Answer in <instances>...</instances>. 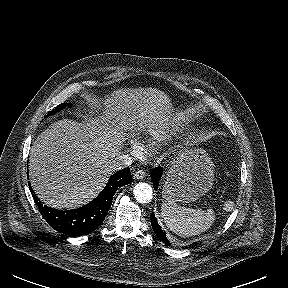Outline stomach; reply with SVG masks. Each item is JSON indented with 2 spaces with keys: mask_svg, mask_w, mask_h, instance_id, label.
<instances>
[{
  "mask_svg": "<svg viewBox=\"0 0 288 288\" xmlns=\"http://www.w3.org/2000/svg\"><path fill=\"white\" fill-rule=\"evenodd\" d=\"M214 163L205 150L186 149L172 161L162 195L166 201L190 203L213 186Z\"/></svg>",
  "mask_w": 288,
  "mask_h": 288,
  "instance_id": "obj_1",
  "label": "stomach"
}]
</instances>
